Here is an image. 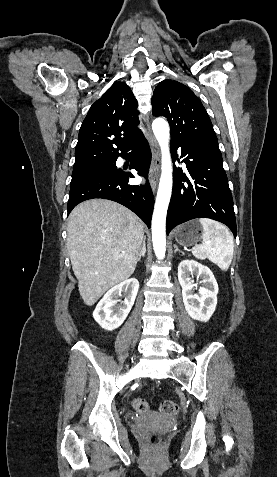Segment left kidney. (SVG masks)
<instances>
[{
	"instance_id": "left-kidney-1",
	"label": "left kidney",
	"mask_w": 277,
	"mask_h": 477,
	"mask_svg": "<svg viewBox=\"0 0 277 477\" xmlns=\"http://www.w3.org/2000/svg\"><path fill=\"white\" fill-rule=\"evenodd\" d=\"M194 275L203 285L197 294L193 292ZM178 280L188 315L194 320L207 322L217 305L218 284L212 271L194 260H183L178 266Z\"/></svg>"
}]
</instances>
